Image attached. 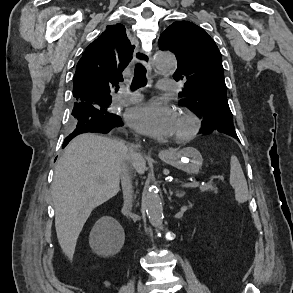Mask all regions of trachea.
Returning a JSON list of instances; mask_svg holds the SVG:
<instances>
[{
    "label": "trachea",
    "instance_id": "trachea-1",
    "mask_svg": "<svg viewBox=\"0 0 293 293\" xmlns=\"http://www.w3.org/2000/svg\"><path fill=\"white\" fill-rule=\"evenodd\" d=\"M147 84L146 68L141 64L137 63L135 66L134 77L131 84V90H136L140 87H144Z\"/></svg>",
    "mask_w": 293,
    "mask_h": 293
}]
</instances>
